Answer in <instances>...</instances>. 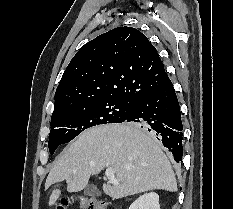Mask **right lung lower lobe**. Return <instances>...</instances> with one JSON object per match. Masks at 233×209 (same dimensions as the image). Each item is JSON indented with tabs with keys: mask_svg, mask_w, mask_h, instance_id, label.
<instances>
[{
	"mask_svg": "<svg viewBox=\"0 0 233 209\" xmlns=\"http://www.w3.org/2000/svg\"><path fill=\"white\" fill-rule=\"evenodd\" d=\"M126 121L151 131L172 152L175 161H182L183 125L178 99L170 80L156 91L137 98L123 122Z\"/></svg>",
	"mask_w": 233,
	"mask_h": 209,
	"instance_id": "1",
	"label": "right lung lower lobe"
}]
</instances>
